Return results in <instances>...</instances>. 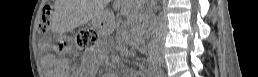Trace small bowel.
<instances>
[{"instance_id": "obj_1", "label": "small bowel", "mask_w": 258, "mask_h": 77, "mask_svg": "<svg viewBox=\"0 0 258 77\" xmlns=\"http://www.w3.org/2000/svg\"><path fill=\"white\" fill-rule=\"evenodd\" d=\"M41 47L44 50H47L49 48L48 40H42L41 41ZM45 59L46 60H51L53 62V65L55 66V69H57V70L66 69V62L62 58H50L49 56H46ZM55 72L62 73L63 71H55Z\"/></svg>"}]
</instances>
